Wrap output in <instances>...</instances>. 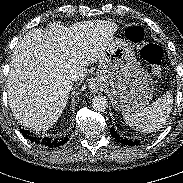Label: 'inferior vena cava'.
I'll return each instance as SVG.
<instances>
[{
  "instance_id": "602c4592",
  "label": "inferior vena cava",
  "mask_w": 183,
  "mask_h": 183,
  "mask_svg": "<svg viewBox=\"0 0 183 183\" xmlns=\"http://www.w3.org/2000/svg\"><path fill=\"white\" fill-rule=\"evenodd\" d=\"M69 79L71 80V81H77L78 79H80V76H79V73L76 71V70H72V71H70V73H69Z\"/></svg>"
}]
</instances>
